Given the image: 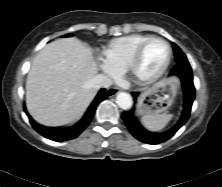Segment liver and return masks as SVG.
I'll list each match as a JSON object with an SVG mask.
<instances>
[{
	"instance_id": "liver-1",
	"label": "liver",
	"mask_w": 222,
	"mask_h": 187,
	"mask_svg": "<svg viewBox=\"0 0 222 187\" xmlns=\"http://www.w3.org/2000/svg\"><path fill=\"white\" fill-rule=\"evenodd\" d=\"M98 67L90 47L77 38L57 39L34 58L26 81V105L40 124L57 127L79 120L96 90Z\"/></svg>"
}]
</instances>
